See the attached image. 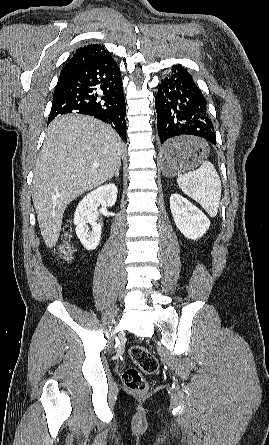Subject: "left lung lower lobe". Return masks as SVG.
<instances>
[{
  "mask_svg": "<svg viewBox=\"0 0 269 445\" xmlns=\"http://www.w3.org/2000/svg\"><path fill=\"white\" fill-rule=\"evenodd\" d=\"M157 124L162 152L177 153V137L196 136L216 144L214 126L207 102L192 76L180 65L158 84L155 97Z\"/></svg>",
  "mask_w": 269,
  "mask_h": 445,
  "instance_id": "obj_1",
  "label": "left lung lower lobe"
}]
</instances>
